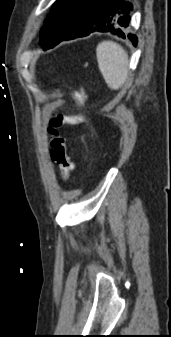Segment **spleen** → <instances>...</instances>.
I'll return each mask as SVG.
<instances>
[{
	"instance_id": "spleen-1",
	"label": "spleen",
	"mask_w": 171,
	"mask_h": 337,
	"mask_svg": "<svg viewBox=\"0 0 171 337\" xmlns=\"http://www.w3.org/2000/svg\"><path fill=\"white\" fill-rule=\"evenodd\" d=\"M96 55L99 70L108 87L118 90L128 75V54L121 45L103 41L97 45Z\"/></svg>"
}]
</instances>
